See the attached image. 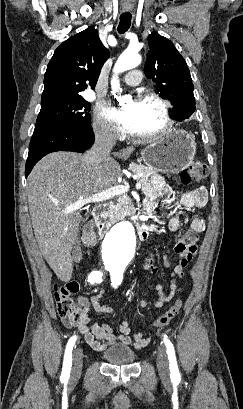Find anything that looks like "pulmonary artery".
<instances>
[{
  "label": "pulmonary artery",
  "mask_w": 243,
  "mask_h": 409,
  "mask_svg": "<svg viewBox=\"0 0 243 409\" xmlns=\"http://www.w3.org/2000/svg\"><path fill=\"white\" fill-rule=\"evenodd\" d=\"M141 72L138 70H132L126 74L123 82L128 86H136L140 83Z\"/></svg>",
  "instance_id": "1"
}]
</instances>
